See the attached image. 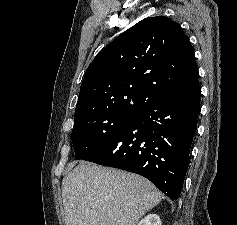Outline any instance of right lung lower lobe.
I'll return each instance as SVG.
<instances>
[{
	"label": "right lung lower lobe",
	"instance_id": "1",
	"mask_svg": "<svg viewBox=\"0 0 237 225\" xmlns=\"http://www.w3.org/2000/svg\"><path fill=\"white\" fill-rule=\"evenodd\" d=\"M199 84L166 94L83 160L137 173L172 200L182 191L200 112Z\"/></svg>",
	"mask_w": 237,
	"mask_h": 225
}]
</instances>
